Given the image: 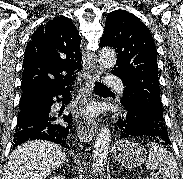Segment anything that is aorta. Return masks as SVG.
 <instances>
[{"mask_svg":"<svg viewBox=\"0 0 183 179\" xmlns=\"http://www.w3.org/2000/svg\"><path fill=\"white\" fill-rule=\"evenodd\" d=\"M100 62L106 68H112L116 64V54L110 48H103L99 54ZM111 142V133L108 126L103 125L97 134L92 154V167L100 172L107 160Z\"/></svg>","mask_w":183,"mask_h":179,"instance_id":"762f6f07","label":"aorta"}]
</instances>
